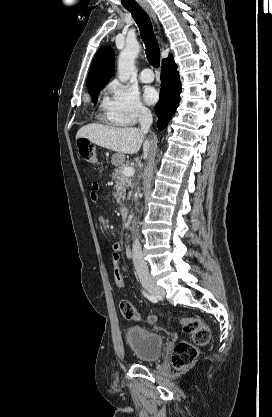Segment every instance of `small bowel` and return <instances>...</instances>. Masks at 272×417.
<instances>
[{
    "label": "small bowel",
    "instance_id": "c3829d8e",
    "mask_svg": "<svg viewBox=\"0 0 272 417\" xmlns=\"http://www.w3.org/2000/svg\"><path fill=\"white\" fill-rule=\"evenodd\" d=\"M90 199L93 203H97L99 200V184L97 182H93L91 184V190H90ZM113 252L119 253L121 250V243L119 241H116L112 245ZM123 274L125 273V267L121 266Z\"/></svg>",
    "mask_w": 272,
    "mask_h": 417
}]
</instances>
